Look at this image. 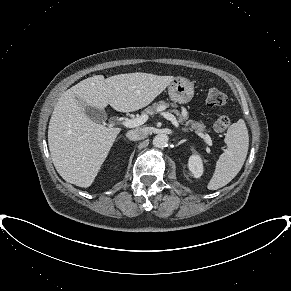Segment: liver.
Here are the masks:
<instances>
[{
    "label": "liver",
    "mask_w": 291,
    "mask_h": 291,
    "mask_svg": "<svg viewBox=\"0 0 291 291\" xmlns=\"http://www.w3.org/2000/svg\"><path fill=\"white\" fill-rule=\"evenodd\" d=\"M173 79L140 72L106 79L96 75L65 91L48 128L51 159L60 176L79 187L91 186L121 131L88 118L80 101L100 110L109 104L119 112L137 111L149 105Z\"/></svg>",
    "instance_id": "obj_1"
}]
</instances>
